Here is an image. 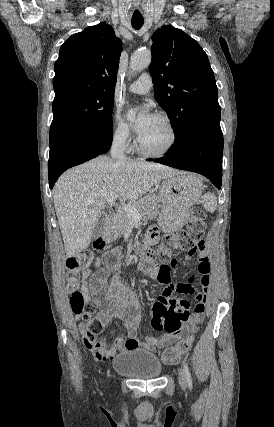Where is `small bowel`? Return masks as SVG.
<instances>
[{
    "label": "small bowel",
    "instance_id": "obj_1",
    "mask_svg": "<svg viewBox=\"0 0 274 427\" xmlns=\"http://www.w3.org/2000/svg\"><path fill=\"white\" fill-rule=\"evenodd\" d=\"M158 232L156 227H151L147 236V243L152 245L156 242ZM196 252L200 253L199 264L207 261L201 244L196 245ZM194 249L188 250L189 256L195 255ZM202 252V253H201ZM122 253L119 248H113L102 257L95 260L96 271L91 267H85L81 271L80 292L86 302H91L97 307L96 318L103 325L107 326L115 319L121 321L126 334L118 337L110 346L105 345L103 339L91 336L88 333L85 323L80 322V331L89 351L97 360L106 361L114 359L118 352H133L136 350L155 351L161 345H169L177 338H184V320H189V311L198 316L197 322L190 321L185 331L197 330V325L202 321L205 312L206 294L209 288L208 264H200V273H208L205 280L201 281L198 275L184 276L182 280H176L175 266L166 264L164 269H160L157 263H145L143 260L138 268L147 273L150 278L166 284V289L157 291V298L152 300V305L148 312V319L151 327H156L157 332H169L160 337L147 336L143 340L137 337V330L140 326L142 315L140 304L135 294L127 287L120 273H118L111 286H107V279L111 270L120 266ZM160 276V277H159ZM162 278V279H161ZM201 283L202 290L196 294V303L193 307L192 301H182L179 294H190L193 292V284ZM146 304L145 302L143 303ZM164 313H167L166 315ZM167 317L166 322L164 317ZM76 319L80 320V315L76 314Z\"/></svg>",
    "mask_w": 274,
    "mask_h": 427
}]
</instances>
